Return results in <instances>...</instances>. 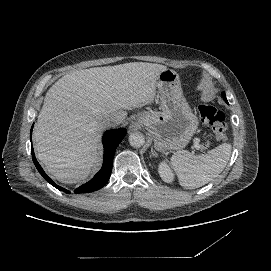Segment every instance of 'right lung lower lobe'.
<instances>
[{"mask_svg":"<svg viewBox=\"0 0 271 271\" xmlns=\"http://www.w3.org/2000/svg\"><path fill=\"white\" fill-rule=\"evenodd\" d=\"M31 128V134H32ZM126 131L125 129H116V130H109L103 135V144H104V162L101 170L94 176L92 180L85 183L84 185L78 187L74 190V193H86L99 190L102 188L109 180L111 171H112V164H113V157L115 150L122 139L125 137ZM31 153L33 157V162L39 171V173L43 176V178L49 182L51 185L56 187L57 189L64 191L65 193H69L68 190L56 185L44 172L42 167L37 162L33 148H31Z\"/></svg>","mask_w":271,"mask_h":271,"instance_id":"98d812e1","label":"right lung lower lobe"}]
</instances>
